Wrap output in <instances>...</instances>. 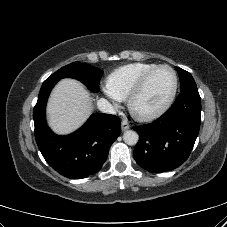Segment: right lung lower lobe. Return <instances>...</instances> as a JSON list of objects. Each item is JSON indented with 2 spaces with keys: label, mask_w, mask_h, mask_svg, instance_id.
I'll return each mask as SVG.
<instances>
[{
  "label": "right lung lower lobe",
  "mask_w": 227,
  "mask_h": 227,
  "mask_svg": "<svg viewBox=\"0 0 227 227\" xmlns=\"http://www.w3.org/2000/svg\"><path fill=\"white\" fill-rule=\"evenodd\" d=\"M58 81L43 83L33 111L35 139L46 162L59 174L82 179L96 173L107 159L121 127L117 116L95 113L77 131L60 136L46 123L48 96Z\"/></svg>",
  "instance_id": "98d812e1"
}]
</instances>
